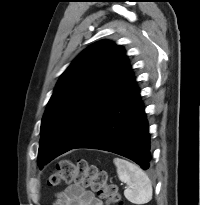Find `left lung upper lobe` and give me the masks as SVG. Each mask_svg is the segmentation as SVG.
<instances>
[{
    "mask_svg": "<svg viewBox=\"0 0 200 205\" xmlns=\"http://www.w3.org/2000/svg\"><path fill=\"white\" fill-rule=\"evenodd\" d=\"M130 69L125 51L110 41L84 50L65 70L41 123L38 165L73 149L110 105Z\"/></svg>",
    "mask_w": 200,
    "mask_h": 205,
    "instance_id": "5c2ea615",
    "label": "left lung upper lobe"
}]
</instances>
